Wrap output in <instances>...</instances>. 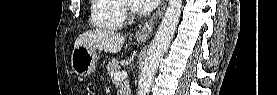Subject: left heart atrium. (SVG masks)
I'll return each instance as SVG.
<instances>
[{
	"label": "left heart atrium",
	"instance_id": "39dd6f15",
	"mask_svg": "<svg viewBox=\"0 0 277 95\" xmlns=\"http://www.w3.org/2000/svg\"><path fill=\"white\" fill-rule=\"evenodd\" d=\"M160 0H136L137 7L142 11L154 9Z\"/></svg>",
	"mask_w": 277,
	"mask_h": 95
}]
</instances>
